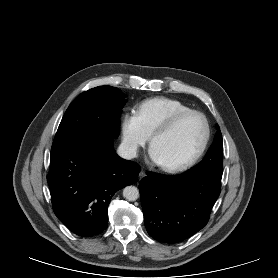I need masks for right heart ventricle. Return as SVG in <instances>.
I'll use <instances>...</instances> for the list:
<instances>
[{"label": "right heart ventricle", "mask_w": 278, "mask_h": 278, "mask_svg": "<svg viewBox=\"0 0 278 278\" xmlns=\"http://www.w3.org/2000/svg\"><path fill=\"white\" fill-rule=\"evenodd\" d=\"M185 103L169 97H153L143 100L136 108L144 128L149 134L169 118L181 111L189 110Z\"/></svg>", "instance_id": "obj_1"}]
</instances>
